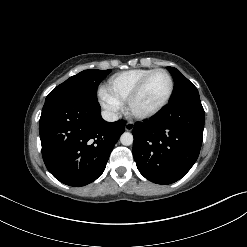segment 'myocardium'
Wrapping results in <instances>:
<instances>
[{"label": "myocardium", "mask_w": 247, "mask_h": 247, "mask_svg": "<svg viewBox=\"0 0 247 247\" xmlns=\"http://www.w3.org/2000/svg\"><path fill=\"white\" fill-rule=\"evenodd\" d=\"M156 73H164L168 77L169 79L168 93L166 97L164 98V100L157 107L153 108L152 110L146 111V112H138L134 109V104L136 100L139 98V96L141 95V93L143 92V89L145 85L147 84L148 80ZM173 91H174V80H173L172 75L165 69H162V68L154 69L141 79V81L137 84L135 89L132 91V93L128 97L127 102H126L128 111L132 116L138 119L151 118L165 108V106L169 103L172 97Z\"/></svg>", "instance_id": "obj_1"}]
</instances>
